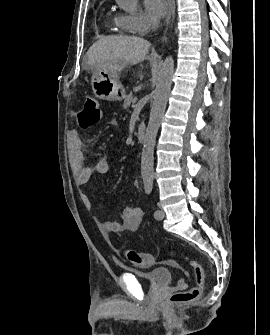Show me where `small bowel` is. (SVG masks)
Instances as JSON below:
<instances>
[{
	"mask_svg": "<svg viewBox=\"0 0 270 335\" xmlns=\"http://www.w3.org/2000/svg\"><path fill=\"white\" fill-rule=\"evenodd\" d=\"M68 161L78 187H84L93 174L105 175L109 172V164L106 160L100 159L88 165L85 163L83 153V143L77 133L72 130L68 133ZM82 203L90 208L91 202L87 195H81ZM143 210L139 206L127 207L122 212L121 221H101V226L105 232L136 231L142 221Z\"/></svg>",
	"mask_w": 270,
	"mask_h": 335,
	"instance_id": "obj_1",
	"label": "small bowel"
}]
</instances>
